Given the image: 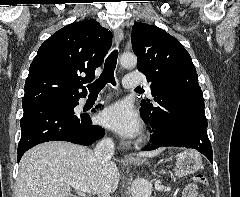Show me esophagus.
I'll return each instance as SVG.
<instances>
[{
    "label": "esophagus",
    "instance_id": "obj_1",
    "mask_svg": "<svg viewBox=\"0 0 240 197\" xmlns=\"http://www.w3.org/2000/svg\"><path fill=\"white\" fill-rule=\"evenodd\" d=\"M123 40V31L121 28H116L114 30V41H115V45L118 46L121 41ZM127 159H133V156H127Z\"/></svg>",
    "mask_w": 240,
    "mask_h": 197
}]
</instances>
